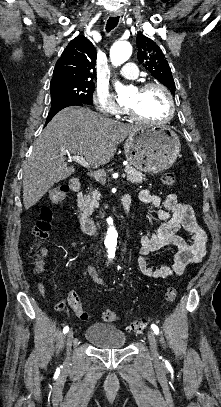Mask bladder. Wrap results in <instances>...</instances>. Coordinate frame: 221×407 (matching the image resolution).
Wrapping results in <instances>:
<instances>
[{"mask_svg": "<svg viewBox=\"0 0 221 407\" xmlns=\"http://www.w3.org/2000/svg\"><path fill=\"white\" fill-rule=\"evenodd\" d=\"M85 340L98 348H117L124 346L126 334L109 324H92L85 330Z\"/></svg>", "mask_w": 221, "mask_h": 407, "instance_id": "bladder-1", "label": "bladder"}]
</instances>
